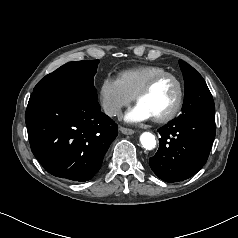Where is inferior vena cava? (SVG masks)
I'll return each mask as SVG.
<instances>
[{
  "label": "inferior vena cava",
  "mask_w": 238,
  "mask_h": 238,
  "mask_svg": "<svg viewBox=\"0 0 238 238\" xmlns=\"http://www.w3.org/2000/svg\"><path fill=\"white\" fill-rule=\"evenodd\" d=\"M103 109L105 114L108 116H116L120 113V106L113 104V103H104L103 104Z\"/></svg>",
  "instance_id": "obj_1"
}]
</instances>
